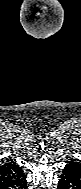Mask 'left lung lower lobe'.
Instances as JSON below:
<instances>
[{
  "mask_svg": "<svg viewBox=\"0 0 81 189\" xmlns=\"http://www.w3.org/2000/svg\"><path fill=\"white\" fill-rule=\"evenodd\" d=\"M57 189H81V163L69 161L60 175Z\"/></svg>",
  "mask_w": 81,
  "mask_h": 189,
  "instance_id": "left-lung-lower-lobe-1",
  "label": "left lung lower lobe"
}]
</instances>
